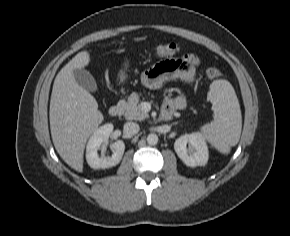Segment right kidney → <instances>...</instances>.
Returning a JSON list of instances; mask_svg holds the SVG:
<instances>
[{
    "mask_svg": "<svg viewBox=\"0 0 290 236\" xmlns=\"http://www.w3.org/2000/svg\"><path fill=\"white\" fill-rule=\"evenodd\" d=\"M113 131L112 124H105L94 131L86 147V160L93 169H105L116 166L122 159L125 144L122 140H117L111 147L113 154L111 157H99L98 150L108 142L109 136Z\"/></svg>",
    "mask_w": 290,
    "mask_h": 236,
    "instance_id": "obj_1",
    "label": "right kidney"
}]
</instances>
